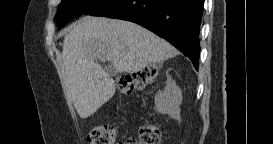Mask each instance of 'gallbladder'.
Masks as SVG:
<instances>
[{
    "label": "gallbladder",
    "mask_w": 273,
    "mask_h": 144,
    "mask_svg": "<svg viewBox=\"0 0 273 144\" xmlns=\"http://www.w3.org/2000/svg\"><path fill=\"white\" fill-rule=\"evenodd\" d=\"M107 76H119L121 73L117 70V65H107L106 67ZM118 71V72H117Z\"/></svg>",
    "instance_id": "1"
}]
</instances>
